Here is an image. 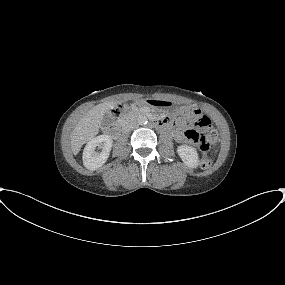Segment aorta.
I'll use <instances>...</instances> for the list:
<instances>
[{"label":"aorta","instance_id":"obj_1","mask_svg":"<svg viewBox=\"0 0 285 285\" xmlns=\"http://www.w3.org/2000/svg\"><path fill=\"white\" fill-rule=\"evenodd\" d=\"M137 121H138V123H139L140 125L146 124V123H147V117L141 115V116L138 117V120H137Z\"/></svg>","mask_w":285,"mask_h":285}]
</instances>
